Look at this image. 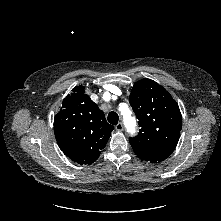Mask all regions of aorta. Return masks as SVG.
<instances>
[{
	"mask_svg": "<svg viewBox=\"0 0 221 221\" xmlns=\"http://www.w3.org/2000/svg\"><path fill=\"white\" fill-rule=\"evenodd\" d=\"M124 124L128 130L133 131L136 125L135 118L132 117L131 111L127 110L123 113Z\"/></svg>",
	"mask_w": 221,
	"mask_h": 221,
	"instance_id": "1",
	"label": "aorta"
}]
</instances>
